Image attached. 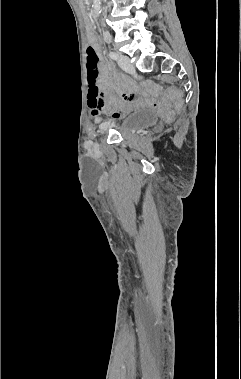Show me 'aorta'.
<instances>
[{
	"instance_id": "1",
	"label": "aorta",
	"mask_w": 241,
	"mask_h": 379,
	"mask_svg": "<svg viewBox=\"0 0 241 379\" xmlns=\"http://www.w3.org/2000/svg\"><path fill=\"white\" fill-rule=\"evenodd\" d=\"M93 12L96 17L99 16L101 12V2L100 0H93Z\"/></svg>"
}]
</instances>
